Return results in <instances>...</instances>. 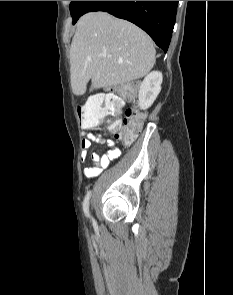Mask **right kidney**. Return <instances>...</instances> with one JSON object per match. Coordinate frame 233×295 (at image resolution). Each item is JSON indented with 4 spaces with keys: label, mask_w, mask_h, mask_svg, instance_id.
Segmentation results:
<instances>
[{
    "label": "right kidney",
    "mask_w": 233,
    "mask_h": 295,
    "mask_svg": "<svg viewBox=\"0 0 233 295\" xmlns=\"http://www.w3.org/2000/svg\"><path fill=\"white\" fill-rule=\"evenodd\" d=\"M162 73L153 71L149 73L140 84L138 91V105L142 110L149 108L161 90Z\"/></svg>",
    "instance_id": "right-kidney-1"
}]
</instances>
